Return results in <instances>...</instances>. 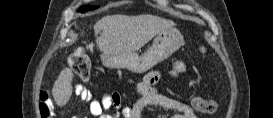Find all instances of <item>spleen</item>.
<instances>
[{
	"mask_svg": "<svg viewBox=\"0 0 273 118\" xmlns=\"http://www.w3.org/2000/svg\"><path fill=\"white\" fill-rule=\"evenodd\" d=\"M201 51H202V52H205V48H204V47H202V48H201Z\"/></svg>",
	"mask_w": 273,
	"mask_h": 118,
	"instance_id": "spleen-1",
	"label": "spleen"
}]
</instances>
